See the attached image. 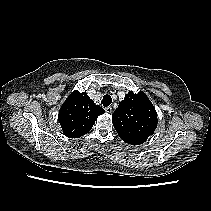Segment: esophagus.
<instances>
[{"mask_svg":"<svg viewBox=\"0 0 211 211\" xmlns=\"http://www.w3.org/2000/svg\"><path fill=\"white\" fill-rule=\"evenodd\" d=\"M105 111H106L107 113L111 114V113L113 112V109H112L111 106H108V107L105 108Z\"/></svg>","mask_w":211,"mask_h":211,"instance_id":"1","label":"esophagus"}]
</instances>
